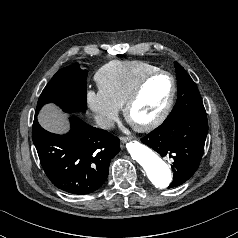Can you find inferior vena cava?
Instances as JSON below:
<instances>
[{"mask_svg": "<svg viewBox=\"0 0 238 238\" xmlns=\"http://www.w3.org/2000/svg\"><path fill=\"white\" fill-rule=\"evenodd\" d=\"M95 121L96 124L102 129H110L114 127V121L111 118L104 115H96Z\"/></svg>", "mask_w": 238, "mask_h": 238, "instance_id": "1", "label": "inferior vena cava"}]
</instances>
